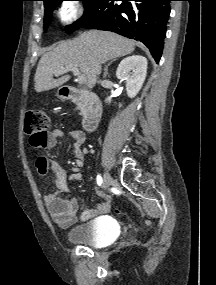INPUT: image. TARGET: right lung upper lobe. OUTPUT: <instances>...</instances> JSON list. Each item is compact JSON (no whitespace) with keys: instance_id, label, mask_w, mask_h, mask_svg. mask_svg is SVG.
Instances as JSON below:
<instances>
[{"instance_id":"obj_1","label":"right lung upper lobe","mask_w":216,"mask_h":285,"mask_svg":"<svg viewBox=\"0 0 216 285\" xmlns=\"http://www.w3.org/2000/svg\"><path fill=\"white\" fill-rule=\"evenodd\" d=\"M42 1H44V3H46V2H48V1H50V0H42Z\"/></svg>"}]
</instances>
